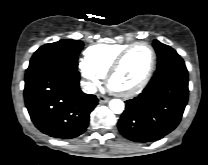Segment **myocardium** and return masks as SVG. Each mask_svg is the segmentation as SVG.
I'll list each match as a JSON object with an SVG mask.
<instances>
[{
    "instance_id": "obj_1",
    "label": "myocardium",
    "mask_w": 208,
    "mask_h": 165,
    "mask_svg": "<svg viewBox=\"0 0 208 165\" xmlns=\"http://www.w3.org/2000/svg\"><path fill=\"white\" fill-rule=\"evenodd\" d=\"M138 46H146L151 51V61H150V65H149V68H148L146 74L144 75V77L142 78V80L139 83H137L136 85H134L130 88L116 87L113 83L114 76L122 67L127 56ZM156 60H157L156 51L151 44H149L147 42H136V43L129 45L128 47H126L124 50H122L118 54V56L113 61V63L111 64V66L106 74V81H107L108 88L114 94L122 96V97H131V96H134V95L140 93L147 86L149 81L151 80V77H152L154 70H155Z\"/></svg>"
}]
</instances>
